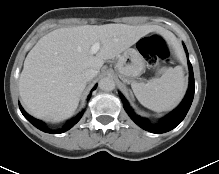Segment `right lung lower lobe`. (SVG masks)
Wrapping results in <instances>:
<instances>
[{
    "mask_svg": "<svg viewBox=\"0 0 219 174\" xmlns=\"http://www.w3.org/2000/svg\"><path fill=\"white\" fill-rule=\"evenodd\" d=\"M96 88V86L93 88V90ZM89 98H90V95H89ZM19 108L23 114V116L32 124L34 125L36 128L40 129L41 131L43 132H46V133H52V134H58V133H63L67 130H69L71 127H73L79 120L80 118L82 117L83 113H84V110L82 112H80L76 117L72 118L71 120H69L65 126L61 129H58V130H51L49 128L46 127V125L40 121V120H37L35 118H33L32 116H30L29 114H27L24 109L21 107V105L19 104Z\"/></svg>",
    "mask_w": 219,
    "mask_h": 174,
    "instance_id": "98d812e1",
    "label": "right lung lower lobe"
}]
</instances>
